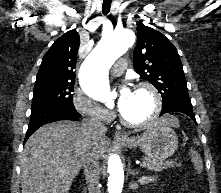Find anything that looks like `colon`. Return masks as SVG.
Here are the masks:
<instances>
[{
  "mask_svg": "<svg viewBox=\"0 0 221 193\" xmlns=\"http://www.w3.org/2000/svg\"><path fill=\"white\" fill-rule=\"evenodd\" d=\"M190 156H191V159H192V163L194 165L196 175L198 177H200L202 172H203V162H202L200 156L198 155V153L194 150H191Z\"/></svg>",
  "mask_w": 221,
  "mask_h": 193,
  "instance_id": "1",
  "label": "colon"
}]
</instances>
